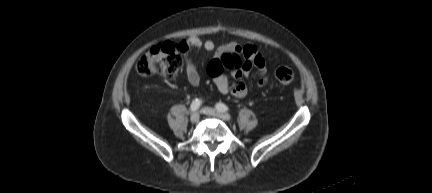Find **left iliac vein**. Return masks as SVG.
Instances as JSON below:
<instances>
[{
    "label": "left iliac vein",
    "mask_w": 432,
    "mask_h": 193,
    "mask_svg": "<svg viewBox=\"0 0 432 193\" xmlns=\"http://www.w3.org/2000/svg\"><path fill=\"white\" fill-rule=\"evenodd\" d=\"M202 112L206 115L217 117V118L225 120V121L231 120V116L228 113L221 112V111L214 109V108L204 107L202 109Z\"/></svg>",
    "instance_id": "1"
}]
</instances>
